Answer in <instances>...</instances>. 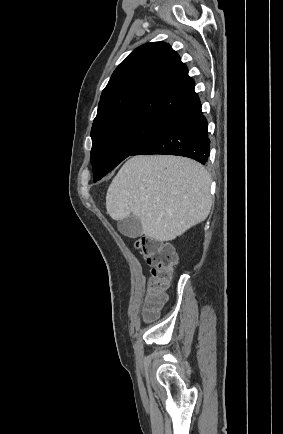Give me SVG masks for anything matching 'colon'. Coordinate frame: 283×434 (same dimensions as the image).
<instances>
[{
    "label": "colon",
    "mask_w": 283,
    "mask_h": 434,
    "mask_svg": "<svg viewBox=\"0 0 283 434\" xmlns=\"http://www.w3.org/2000/svg\"><path fill=\"white\" fill-rule=\"evenodd\" d=\"M136 248L151 267L143 315L145 321H150L156 317L166 300L165 292L176 265V255L169 245L152 238L138 239Z\"/></svg>",
    "instance_id": "5ec220e1"
}]
</instances>
